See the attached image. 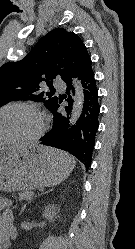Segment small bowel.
Listing matches in <instances>:
<instances>
[{"label":"small bowel","mask_w":135,"mask_h":249,"mask_svg":"<svg viewBox=\"0 0 135 249\" xmlns=\"http://www.w3.org/2000/svg\"><path fill=\"white\" fill-rule=\"evenodd\" d=\"M10 200L0 197V210L7 208ZM17 236L16 228L13 224V215L9 210L0 213V247L8 246L11 239Z\"/></svg>","instance_id":"small-bowel-1"}]
</instances>
